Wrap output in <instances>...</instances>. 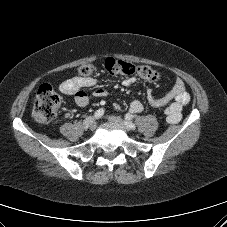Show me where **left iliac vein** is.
Returning <instances> with one entry per match:
<instances>
[{"label":"left iliac vein","instance_id":"left-iliac-vein-1","mask_svg":"<svg viewBox=\"0 0 227 227\" xmlns=\"http://www.w3.org/2000/svg\"><path fill=\"white\" fill-rule=\"evenodd\" d=\"M108 119L119 126H121L125 131H129L130 129L126 126L125 122L118 116H109Z\"/></svg>","mask_w":227,"mask_h":227}]
</instances>
